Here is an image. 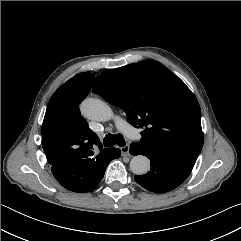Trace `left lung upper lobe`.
<instances>
[{"mask_svg":"<svg viewBox=\"0 0 241 241\" xmlns=\"http://www.w3.org/2000/svg\"><path fill=\"white\" fill-rule=\"evenodd\" d=\"M92 89L123 109L131 125L142 129V138L133 144L194 166L204 141L200 106L168 68L148 59L106 70L95 78Z\"/></svg>","mask_w":241,"mask_h":241,"instance_id":"obj_1","label":"left lung upper lobe"}]
</instances>
